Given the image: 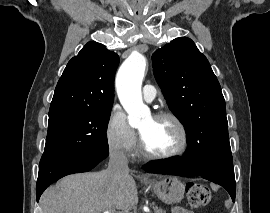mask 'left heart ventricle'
<instances>
[{
  "instance_id": "1",
  "label": "left heart ventricle",
  "mask_w": 270,
  "mask_h": 213,
  "mask_svg": "<svg viewBox=\"0 0 270 213\" xmlns=\"http://www.w3.org/2000/svg\"><path fill=\"white\" fill-rule=\"evenodd\" d=\"M138 130L145 146L152 153H168L181 144L180 131L169 119L156 120L149 117Z\"/></svg>"
}]
</instances>
